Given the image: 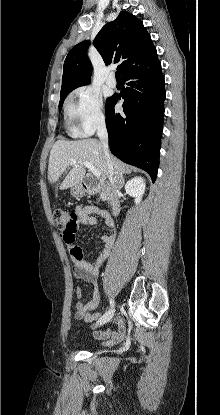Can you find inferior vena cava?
<instances>
[{"label": "inferior vena cava", "instance_id": "obj_1", "mask_svg": "<svg viewBox=\"0 0 220 415\" xmlns=\"http://www.w3.org/2000/svg\"><path fill=\"white\" fill-rule=\"evenodd\" d=\"M97 135L103 146L104 157H105L106 165L108 168V178L112 186V191L115 192L118 189V186L116 184L117 180H120L121 176L115 175V172H114L113 164L111 162L110 153H109L108 133H107V129L104 123L99 124ZM110 199L113 200L112 197H110Z\"/></svg>", "mask_w": 220, "mask_h": 415}]
</instances>
